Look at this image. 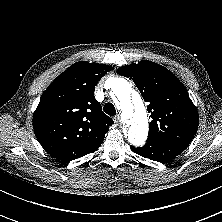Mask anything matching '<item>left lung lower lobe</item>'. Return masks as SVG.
<instances>
[{
	"label": "left lung lower lobe",
	"mask_w": 222,
	"mask_h": 222,
	"mask_svg": "<svg viewBox=\"0 0 222 222\" xmlns=\"http://www.w3.org/2000/svg\"><path fill=\"white\" fill-rule=\"evenodd\" d=\"M189 143L176 140H147L143 147L131 146L134 153L161 163H166L182 153Z\"/></svg>",
	"instance_id": "left-lung-lower-lobe-1"
}]
</instances>
